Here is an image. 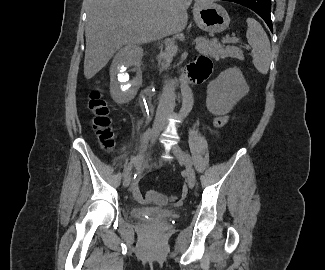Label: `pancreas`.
I'll use <instances>...</instances> for the list:
<instances>
[{"mask_svg": "<svg viewBox=\"0 0 325 270\" xmlns=\"http://www.w3.org/2000/svg\"><path fill=\"white\" fill-rule=\"evenodd\" d=\"M196 49L200 53L210 55L216 60H218L219 58L224 59L227 57L237 58L241 61L244 60L243 51L240 48L234 46L224 47L218 42L217 39L209 40L206 38H199ZM176 52L177 48L175 46L168 45L166 47L165 52L160 53L158 57L159 62H161V60H164L166 63L165 66H168Z\"/></svg>", "mask_w": 325, "mask_h": 270, "instance_id": "cf45deb5", "label": "pancreas"}]
</instances>
